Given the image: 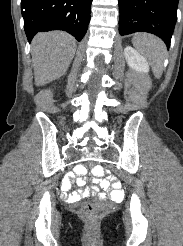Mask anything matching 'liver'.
<instances>
[{"label":"liver","instance_id":"liver-1","mask_svg":"<svg viewBox=\"0 0 183 246\" xmlns=\"http://www.w3.org/2000/svg\"><path fill=\"white\" fill-rule=\"evenodd\" d=\"M75 51L76 40L65 32L38 33L32 41L35 85L43 86L62 77Z\"/></svg>","mask_w":183,"mask_h":246}]
</instances>
